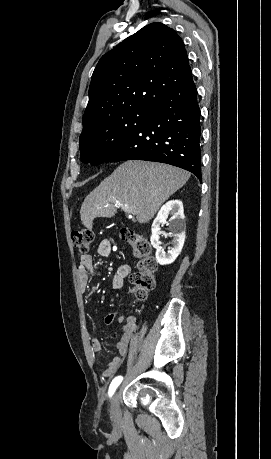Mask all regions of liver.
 <instances>
[{
    "label": "liver",
    "instance_id": "6515ba94",
    "mask_svg": "<svg viewBox=\"0 0 271 459\" xmlns=\"http://www.w3.org/2000/svg\"><path fill=\"white\" fill-rule=\"evenodd\" d=\"M189 178V172L181 168L128 160L86 196L80 210L81 222L92 229L94 218H112L117 208H133L138 222L146 224Z\"/></svg>",
    "mask_w": 271,
    "mask_h": 459
}]
</instances>
